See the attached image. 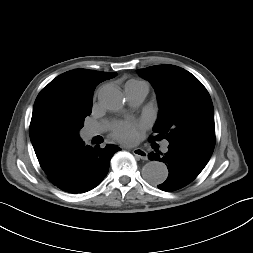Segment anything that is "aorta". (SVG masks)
Here are the masks:
<instances>
[{"mask_svg":"<svg viewBox=\"0 0 253 253\" xmlns=\"http://www.w3.org/2000/svg\"><path fill=\"white\" fill-rule=\"evenodd\" d=\"M124 95L115 86H105L99 90L98 102L109 111H119L124 106ZM143 178L151 185L162 184L168 177L166 165L159 161H150L142 169Z\"/></svg>","mask_w":253,"mask_h":253,"instance_id":"762f6f07","label":"aorta"}]
</instances>
